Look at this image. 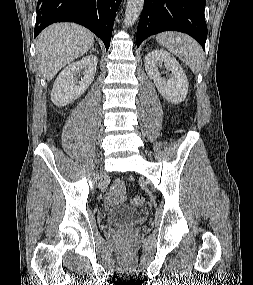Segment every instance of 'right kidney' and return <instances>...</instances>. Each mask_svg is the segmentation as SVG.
I'll use <instances>...</instances> for the list:
<instances>
[{
    "mask_svg": "<svg viewBox=\"0 0 253 285\" xmlns=\"http://www.w3.org/2000/svg\"><path fill=\"white\" fill-rule=\"evenodd\" d=\"M98 59L88 55L70 63L56 78L51 92V101L58 107L66 106L79 98L92 83ZM83 70V78L77 81L75 75Z\"/></svg>",
    "mask_w": 253,
    "mask_h": 285,
    "instance_id": "ca27d5eb",
    "label": "right kidney"
}]
</instances>
